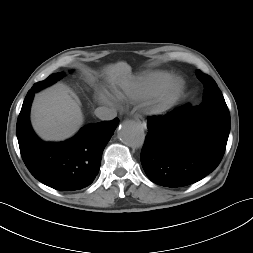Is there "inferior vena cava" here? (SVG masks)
<instances>
[{"mask_svg": "<svg viewBox=\"0 0 253 253\" xmlns=\"http://www.w3.org/2000/svg\"><path fill=\"white\" fill-rule=\"evenodd\" d=\"M94 113L101 120H113L117 116L115 110L106 107H98Z\"/></svg>", "mask_w": 253, "mask_h": 253, "instance_id": "inferior-vena-cava-1", "label": "inferior vena cava"}]
</instances>
